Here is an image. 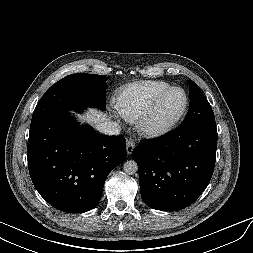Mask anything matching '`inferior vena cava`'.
<instances>
[{"label":"inferior vena cava","instance_id":"602c4592","mask_svg":"<svg viewBox=\"0 0 253 253\" xmlns=\"http://www.w3.org/2000/svg\"><path fill=\"white\" fill-rule=\"evenodd\" d=\"M97 129L106 135H119L121 130L119 124L114 121L101 122L97 124Z\"/></svg>","mask_w":253,"mask_h":253}]
</instances>
